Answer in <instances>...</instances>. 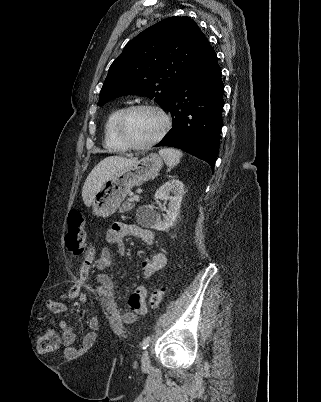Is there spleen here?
I'll return each mask as SVG.
<instances>
[{
    "label": "spleen",
    "mask_w": 321,
    "mask_h": 402,
    "mask_svg": "<svg viewBox=\"0 0 321 402\" xmlns=\"http://www.w3.org/2000/svg\"><path fill=\"white\" fill-rule=\"evenodd\" d=\"M159 154L169 169L177 166L180 162V158L183 156V153L180 150L174 148L161 149L159 150Z\"/></svg>",
    "instance_id": "1"
}]
</instances>
